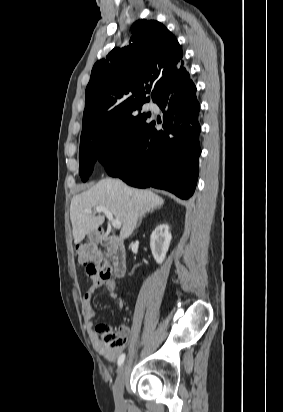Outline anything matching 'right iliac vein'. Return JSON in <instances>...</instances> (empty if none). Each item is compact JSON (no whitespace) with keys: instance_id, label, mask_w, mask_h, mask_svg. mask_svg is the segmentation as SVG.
<instances>
[{"instance_id":"1","label":"right iliac vein","mask_w":283,"mask_h":412,"mask_svg":"<svg viewBox=\"0 0 283 412\" xmlns=\"http://www.w3.org/2000/svg\"><path fill=\"white\" fill-rule=\"evenodd\" d=\"M126 372H127V365L123 364V366L119 370V373H118V376L116 378L114 388H113L114 401L118 409H123L124 407L123 393H124V382H125Z\"/></svg>"}]
</instances>
